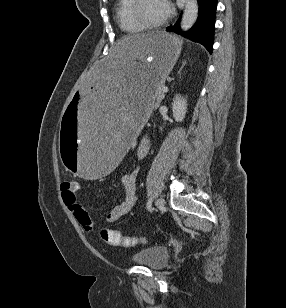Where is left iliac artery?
Here are the masks:
<instances>
[{
  "instance_id": "1",
  "label": "left iliac artery",
  "mask_w": 286,
  "mask_h": 308,
  "mask_svg": "<svg viewBox=\"0 0 286 308\" xmlns=\"http://www.w3.org/2000/svg\"><path fill=\"white\" fill-rule=\"evenodd\" d=\"M151 205H152V198L148 200L147 205H146L149 211H151Z\"/></svg>"
}]
</instances>
